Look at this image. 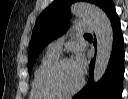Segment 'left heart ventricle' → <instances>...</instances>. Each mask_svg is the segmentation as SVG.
<instances>
[{
    "instance_id": "b2bd125f",
    "label": "left heart ventricle",
    "mask_w": 128,
    "mask_h": 99,
    "mask_svg": "<svg viewBox=\"0 0 128 99\" xmlns=\"http://www.w3.org/2000/svg\"><path fill=\"white\" fill-rule=\"evenodd\" d=\"M81 80V73L73 61L61 64L47 78L49 85L62 91L74 89Z\"/></svg>"
}]
</instances>
